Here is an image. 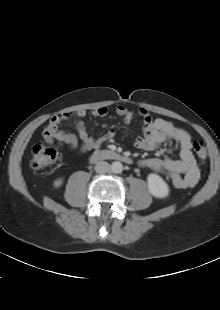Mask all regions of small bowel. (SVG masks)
<instances>
[{"label":"small bowel","instance_id":"c3829d8e","mask_svg":"<svg viewBox=\"0 0 220 310\" xmlns=\"http://www.w3.org/2000/svg\"><path fill=\"white\" fill-rule=\"evenodd\" d=\"M115 113L125 123H129L135 114L132 108L127 107H118ZM137 113L144 122L143 134L135 141L137 148L153 151L165 140H173L180 147L179 159L149 158L142 161V166L165 175L176 188L184 189L195 186L199 181L200 171L192 152L190 134L172 122L160 118L154 119L145 108H139ZM91 114L94 117L102 118L106 117L109 112L106 108L100 107L93 109ZM74 116L80 118L76 123L78 136L73 133H67L60 127L63 121L69 120ZM85 116V110L55 115L44 128L42 132L43 139L49 144L57 141L60 145L67 146L80 154L96 150L114 139L116 135L114 129H110L100 138L90 136L86 124L82 120Z\"/></svg>","mask_w":220,"mask_h":310}]
</instances>
